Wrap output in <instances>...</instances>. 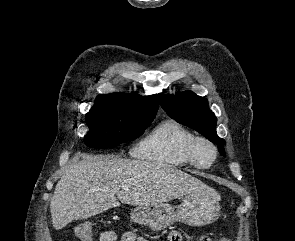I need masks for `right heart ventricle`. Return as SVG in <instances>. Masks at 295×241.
Masks as SVG:
<instances>
[{"label": "right heart ventricle", "mask_w": 295, "mask_h": 241, "mask_svg": "<svg viewBox=\"0 0 295 241\" xmlns=\"http://www.w3.org/2000/svg\"><path fill=\"white\" fill-rule=\"evenodd\" d=\"M195 134L175 120L159 123L137 146L136 155L148 162L184 167L190 164L186 149Z\"/></svg>", "instance_id": "1"}]
</instances>
